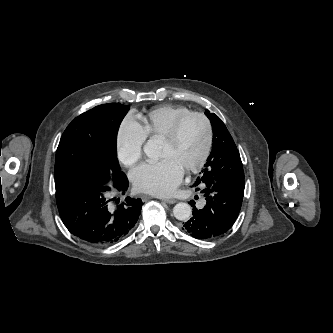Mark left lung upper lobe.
Listing matches in <instances>:
<instances>
[{"instance_id": "5c2ea615", "label": "left lung upper lobe", "mask_w": 333, "mask_h": 333, "mask_svg": "<svg viewBox=\"0 0 333 333\" xmlns=\"http://www.w3.org/2000/svg\"><path fill=\"white\" fill-rule=\"evenodd\" d=\"M205 114L213 128V144L199 177L219 182L244 180L239 152L225 124L214 113L206 111Z\"/></svg>"}]
</instances>
